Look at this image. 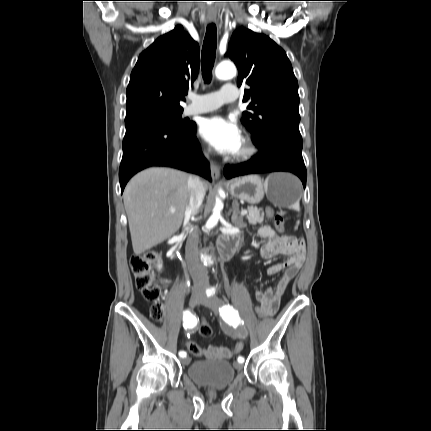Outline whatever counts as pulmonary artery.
Returning a JSON list of instances; mask_svg holds the SVG:
<instances>
[{"mask_svg":"<svg viewBox=\"0 0 431 431\" xmlns=\"http://www.w3.org/2000/svg\"><path fill=\"white\" fill-rule=\"evenodd\" d=\"M238 96V88L234 84L226 83L219 91L191 95L192 103L185 108V114L196 115L216 110L224 103L237 100Z\"/></svg>","mask_w":431,"mask_h":431,"instance_id":"e3ab8cb5","label":"pulmonary artery"}]
</instances>
